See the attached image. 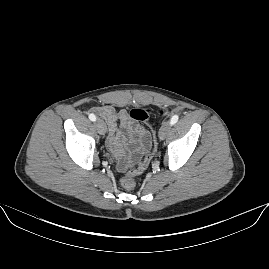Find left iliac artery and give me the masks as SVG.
Segmentation results:
<instances>
[{"label":"left iliac artery","mask_w":269,"mask_h":269,"mask_svg":"<svg viewBox=\"0 0 269 269\" xmlns=\"http://www.w3.org/2000/svg\"><path fill=\"white\" fill-rule=\"evenodd\" d=\"M177 121H178V116H177V115H174V116L171 118L170 124H171V125H174Z\"/></svg>","instance_id":"44dca946"}]
</instances>
